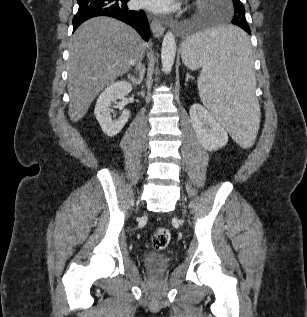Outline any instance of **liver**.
I'll list each match as a JSON object with an SVG mask.
<instances>
[{
  "mask_svg": "<svg viewBox=\"0 0 307 317\" xmlns=\"http://www.w3.org/2000/svg\"><path fill=\"white\" fill-rule=\"evenodd\" d=\"M143 51L139 34L121 21L95 17L80 25L69 44L70 119H82L99 92L125 74Z\"/></svg>",
  "mask_w": 307,
  "mask_h": 317,
  "instance_id": "obj_1",
  "label": "liver"
}]
</instances>
